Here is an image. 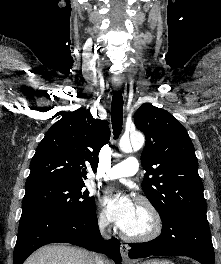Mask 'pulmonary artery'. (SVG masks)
Returning <instances> with one entry per match:
<instances>
[{
    "label": "pulmonary artery",
    "mask_w": 221,
    "mask_h": 264,
    "mask_svg": "<svg viewBox=\"0 0 221 264\" xmlns=\"http://www.w3.org/2000/svg\"><path fill=\"white\" fill-rule=\"evenodd\" d=\"M139 170V163L135 157H129L122 162L111 167L104 179L105 180H114L123 177H130L135 175Z\"/></svg>",
    "instance_id": "1"
}]
</instances>
